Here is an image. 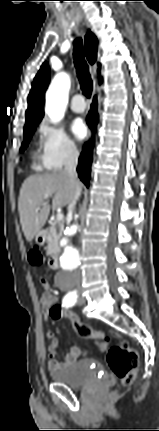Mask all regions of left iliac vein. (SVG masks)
I'll use <instances>...</instances> for the list:
<instances>
[{
	"mask_svg": "<svg viewBox=\"0 0 159 431\" xmlns=\"http://www.w3.org/2000/svg\"><path fill=\"white\" fill-rule=\"evenodd\" d=\"M85 303V299H84V297H82V296H80L79 297V300H78V305H83Z\"/></svg>",
	"mask_w": 159,
	"mask_h": 431,
	"instance_id": "1",
	"label": "left iliac vein"
}]
</instances>
